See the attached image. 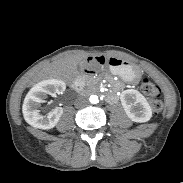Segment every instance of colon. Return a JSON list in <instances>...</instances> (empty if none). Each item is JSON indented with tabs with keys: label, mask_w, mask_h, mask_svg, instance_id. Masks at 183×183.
Here are the masks:
<instances>
[{
	"label": "colon",
	"mask_w": 183,
	"mask_h": 183,
	"mask_svg": "<svg viewBox=\"0 0 183 183\" xmlns=\"http://www.w3.org/2000/svg\"><path fill=\"white\" fill-rule=\"evenodd\" d=\"M99 64H106L107 59L97 58ZM141 92L150 99L152 111L154 114H159L163 109V98L161 88L150 78L144 77L140 84Z\"/></svg>",
	"instance_id": "obj_1"
}]
</instances>
